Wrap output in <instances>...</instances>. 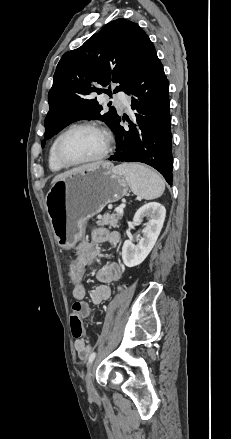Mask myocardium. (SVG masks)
<instances>
[{
	"label": "myocardium",
	"mask_w": 231,
	"mask_h": 439,
	"mask_svg": "<svg viewBox=\"0 0 231 439\" xmlns=\"http://www.w3.org/2000/svg\"><path fill=\"white\" fill-rule=\"evenodd\" d=\"M79 129H94V130H97L103 134V136L105 138V146L100 154L96 155L95 157L85 159V160H80V161L70 160L64 155L63 149H62L63 140L65 139V137L68 134H70L71 132H73L75 130H79ZM112 146H113V136H112L111 132L106 127H104L103 125H100L98 123H94V122H81V123H78V124H75V125L69 127L68 129L63 131L58 136L57 141H56L55 151H56V156H57L58 160L62 164H64L65 166L72 167V166H80V165L90 164V163L98 162V161L104 159L111 152Z\"/></svg>",
	"instance_id": "myocardium-1"
}]
</instances>
